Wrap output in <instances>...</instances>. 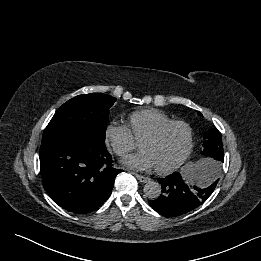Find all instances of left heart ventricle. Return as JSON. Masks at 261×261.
I'll list each match as a JSON object with an SVG mask.
<instances>
[{
  "mask_svg": "<svg viewBox=\"0 0 261 261\" xmlns=\"http://www.w3.org/2000/svg\"><path fill=\"white\" fill-rule=\"evenodd\" d=\"M188 142L187 130L180 125L169 128L156 141L141 142V149L153 158L155 168L167 167L176 162L184 153Z\"/></svg>",
  "mask_w": 261,
  "mask_h": 261,
  "instance_id": "obj_1",
  "label": "left heart ventricle"
}]
</instances>
